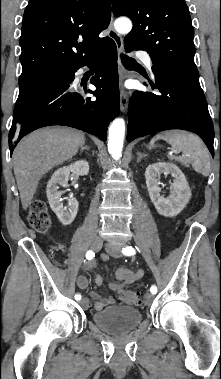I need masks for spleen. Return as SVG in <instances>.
Masks as SVG:
<instances>
[{
	"mask_svg": "<svg viewBox=\"0 0 221 379\" xmlns=\"http://www.w3.org/2000/svg\"><path fill=\"white\" fill-rule=\"evenodd\" d=\"M157 140H165L172 146L173 153H182L181 156H173L168 153V158L180 162L183 165L191 164L193 169L208 176L211 163L208 149L203 141L196 135L180 130H171L156 134L150 144L153 145Z\"/></svg>",
	"mask_w": 221,
	"mask_h": 379,
	"instance_id": "obj_1",
	"label": "spleen"
}]
</instances>
